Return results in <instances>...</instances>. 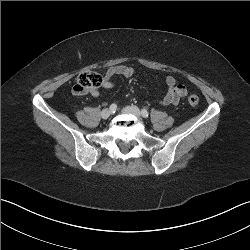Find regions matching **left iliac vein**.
<instances>
[{"label": "left iliac vein", "instance_id": "obj_1", "mask_svg": "<svg viewBox=\"0 0 250 250\" xmlns=\"http://www.w3.org/2000/svg\"><path fill=\"white\" fill-rule=\"evenodd\" d=\"M122 112L125 114H131L137 117L141 116V112L139 108L136 106H126L125 108L122 109Z\"/></svg>", "mask_w": 250, "mask_h": 250}]
</instances>
